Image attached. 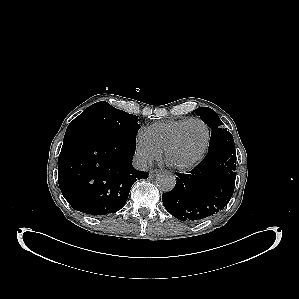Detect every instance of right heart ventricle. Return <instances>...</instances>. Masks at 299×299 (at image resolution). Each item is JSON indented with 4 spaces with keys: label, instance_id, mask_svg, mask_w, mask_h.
<instances>
[{
    "label": "right heart ventricle",
    "instance_id": "obj_1",
    "mask_svg": "<svg viewBox=\"0 0 299 299\" xmlns=\"http://www.w3.org/2000/svg\"><path fill=\"white\" fill-rule=\"evenodd\" d=\"M187 120L157 122L150 125L142 134L152 146L162 151L177 129Z\"/></svg>",
    "mask_w": 299,
    "mask_h": 299
}]
</instances>
